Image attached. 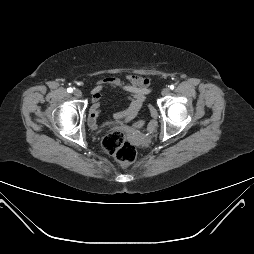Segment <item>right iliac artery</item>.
I'll use <instances>...</instances> for the list:
<instances>
[{
    "label": "right iliac artery",
    "mask_w": 254,
    "mask_h": 254,
    "mask_svg": "<svg viewBox=\"0 0 254 254\" xmlns=\"http://www.w3.org/2000/svg\"><path fill=\"white\" fill-rule=\"evenodd\" d=\"M67 91H68L69 93H72V92H73V88L70 87V88L67 89Z\"/></svg>",
    "instance_id": "obj_1"
}]
</instances>
